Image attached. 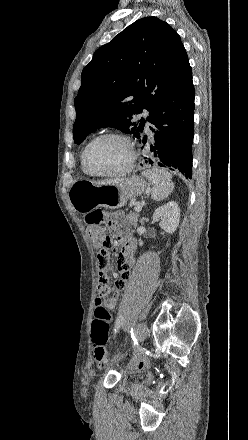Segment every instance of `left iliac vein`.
<instances>
[{
    "instance_id": "4c4485c4",
    "label": "left iliac vein",
    "mask_w": 248,
    "mask_h": 440,
    "mask_svg": "<svg viewBox=\"0 0 248 440\" xmlns=\"http://www.w3.org/2000/svg\"><path fill=\"white\" fill-rule=\"evenodd\" d=\"M147 334H148V327H147V325L144 322L139 323L138 326H137V329H136L137 340L139 342L144 341L145 338L147 337Z\"/></svg>"
}]
</instances>
